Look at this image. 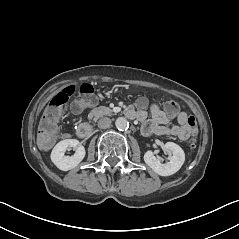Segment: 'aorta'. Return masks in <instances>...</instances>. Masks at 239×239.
Wrapping results in <instances>:
<instances>
[{
    "mask_svg": "<svg viewBox=\"0 0 239 239\" xmlns=\"http://www.w3.org/2000/svg\"><path fill=\"white\" fill-rule=\"evenodd\" d=\"M116 128L120 131L127 130L129 122L124 117H119L115 122Z\"/></svg>",
    "mask_w": 239,
    "mask_h": 239,
    "instance_id": "762f6f07",
    "label": "aorta"
}]
</instances>
